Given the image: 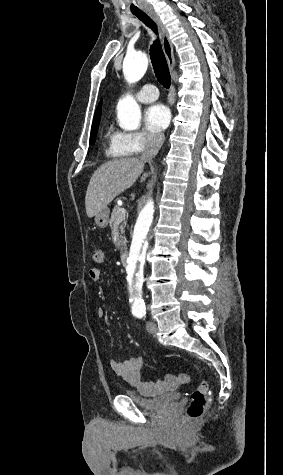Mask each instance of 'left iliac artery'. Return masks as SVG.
<instances>
[{"label":"left iliac artery","instance_id":"44dca946","mask_svg":"<svg viewBox=\"0 0 283 475\" xmlns=\"http://www.w3.org/2000/svg\"><path fill=\"white\" fill-rule=\"evenodd\" d=\"M145 314H146V311H145V310H141V311H139V312H136V315H137V317H139V318H142L143 316H145Z\"/></svg>","mask_w":283,"mask_h":475}]
</instances>
